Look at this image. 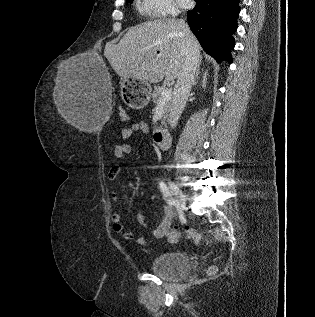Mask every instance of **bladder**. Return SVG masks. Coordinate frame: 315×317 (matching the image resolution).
<instances>
[{
  "instance_id": "bladder-1",
  "label": "bladder",
  "mask_w": 315,
  "mask_h": 317,
  "mask_svg": "<svg viewBox=\"0 0 315 317\" xmlns=\"http://www.w3.org/2000/svg\"><path fill=\"white\" fill-rule=\"evenodd\" d=\"M150 270L164 278L178 280L189 274L191 264L186 254L167 252L157 255L151 260Z\"/></svg>"
}]
</instances>
